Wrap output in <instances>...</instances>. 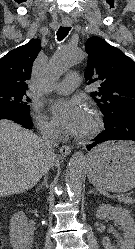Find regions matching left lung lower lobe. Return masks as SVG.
<instances>
[{"mask_svg":"<svg viewBox=\"0 0 135 249\" xmlns=\"http://www.w3.org/2000/svg\"><path fill=\"white\" fill-rule=\"evenodd\" d=\"M104 122L105 131L100 133L92 144L87 145V150L109 140L135 141V108H124L114 113L111 119H104Z\"/></svg>","mask_w":135,"mask_h":249,"instance_id":"1","label":"left lung lower lobe"}]
</instances>
